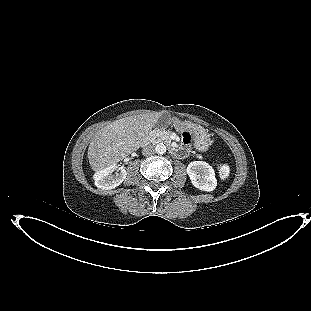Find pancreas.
Masks as SVG:
<instances>
[{"mask_svg": "<svg viewBox=\"0 0 311 311\" xmlns=\"http://www.w3.org/2000/svg\"><path fill=\"white\" fill-rule=\"evenodd\" d=\"M170 131H165V130H160L157 132V141H165V142H170Z\"/></svg>", "mask_w": 311, "mask_h": 311, "instance_id": "pancreas-1", "label": "pancreas"}]
</instances>
